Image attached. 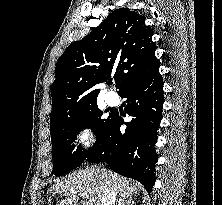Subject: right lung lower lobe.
I'll list each match as a JSON object with an SVG mask.
<instances>
[{
	"label": "right lung lower lobe",
	"instance_id": "1",
	"mask_svg": "<svg viewBox=\"0 0 222 205\" xmlns=\"http://www.w3.org/2000/svg\"><path fill=\"white\" fill-rule=\"evenodd\" d=\"M163 78L159 68L138 78L119 93L127 98L125 113L132 116L124 122L114 114L111 124L97 139L86 159L92 163L106 162L118 174L139 181L148 191L155 183V143L162 117ZM127 126L121 131V125Z\"/></svg>",
	"mask_w": 222,
	"mask_h": 205
}]
</instances>
